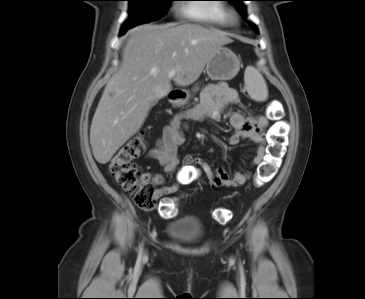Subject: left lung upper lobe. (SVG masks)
<instances>
[{
    "label": "left lung upper lobe",
    "mask_w": 365,
    "mask_h": 299,
    "mask_svg": "<svg viewBox=\"0 0 365 299\" xmlns=\"http://www.w3.org/2000/svg\"><path fill=\"white\" fill-rule=\"evenodd\" d=\"M230 1L231 3H234L237 10L239 11V13L243 16V18L245 19V7L241 4L242 1L245 0H227ZM249 25L253 28V30L258 33V29L254 24L249 23Z\"/></svg>",
    "instance_id": "1"
}]
</instances>
